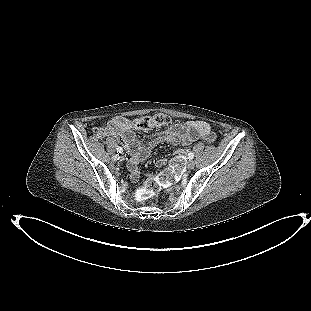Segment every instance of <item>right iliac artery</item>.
I'll use <instances>...</instances> for the list:
<instances>
[{"label":"right iliac artery","mask_w":311,"mask_h":311,"mask_svg":"<svg viewBox=\"0 0 311 311\" xmlns=\"http://www.w3.org/2000/svg\"><path fill=\"white\" fill-rule=\"evenodd\" d=\"M117 152H118V153H122V152H123V149H122L121 147H118V148H117Z\"/></svg>","instance_id":"82829eb1"}]
</instances>
